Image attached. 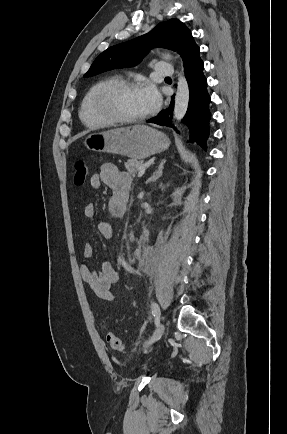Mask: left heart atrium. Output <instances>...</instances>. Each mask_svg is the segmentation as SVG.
Returning a JSON list of instances; mask_svg holds the SVG:
<instances>
[{
	"instance_id": "obj_1",
	"label": "left heart atrium",
	"mask_w": 287,
	"mask_h": 434,
	"mask_svg": "<svg viewBox=\"0 0 287 434\" xmlns=\"http://www.w3.org/2000/svg\"><path fill=\"white\" fill-rule=\"evenodd\" d=\"M141 95L145 102L147 111H153L160 105L161 97L156 87L151 83L140 86Z\"/></svg>"
}]
</instances>
